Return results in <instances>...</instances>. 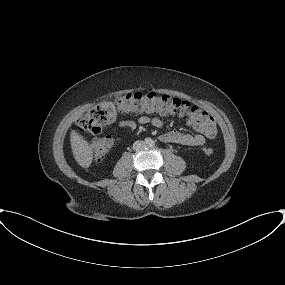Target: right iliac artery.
Listing matches in <instances>:
<instances>
[{"instance_id":"right-iliac-artery-1","label":"right iliac artery","mask_w":285,"mask_h":285,"mask_svg":"<svg viewBox=\"0 0 285 285\" xmlns=\"http://www.w3.org/2000/svg\"><path fill=\"white\" fill-rule=\"evenodd\" d=\"M145 142H146V143H149V142H150V139H145Z\"/></svg>"}]
</instances>
